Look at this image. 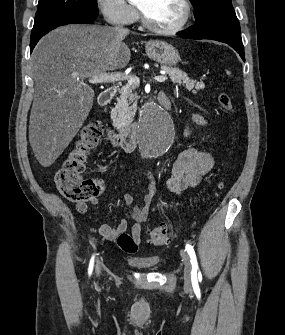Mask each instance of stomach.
Masks as SVG:
<instances>
[{
  "label": "stomach",
  "mask_w": 285,
  "mask_h": 335,
  "mask_svg": "<svg viewBox=\"0 0 285 335\" xmlns=\"http://www.w3.org/2000/svg\"><path fill=\"white\" fill-rule=\"evenodd\" d=\"M145 52L148 58L155 60L162 66H167V68H172V66H176L180 62L178 50L171 44H167V42H161V40H150V42H147Z\"/></svg>",
  "instance_id": "0dacf381"
}]
</instances>
